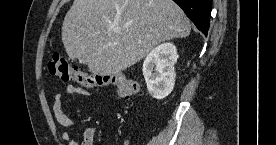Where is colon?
<instances>
[{"instance_id":"5ec220e1","label":"colon","mask_w":276,"mask_h":145,"mask_svg":"<svg viewBox=\"0 0 276 145\" xmlns=\"http://www.w3.org/2000/svg\"><path fill=\"white\" fill-rule=\"evenodd\" d=\"M48 70L54 77L63 81H75L87 88L111 86L121 98L132 97L139 91L136 83L126 74H98L72 67L60 55L52 56L48 62Z\"/></svg>"}]
</instances>
